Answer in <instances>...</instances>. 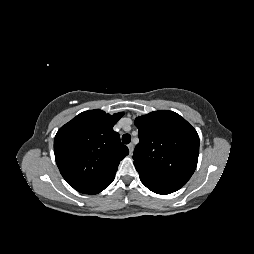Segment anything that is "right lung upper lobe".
Masks as SVG:
<instances>
[{"instance_id": "1", "label": "right lung upper lobe", "mask_w": 254, "mask_h": 254, "mask_svg": "<svg viewBox=\"0 0 254 254\" xmlns=\"http://www.w3.org/2000/svg\"><path fill=\"white\" fill-rule=\"evenodd\" d=\"M123 113L95 109L80 113L62 126L54 139L57 166L75 190L91 191L115 177L120 161L129 154L113 126Z\"/></svg>"}]
</instances>
